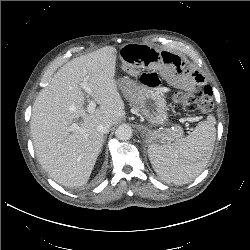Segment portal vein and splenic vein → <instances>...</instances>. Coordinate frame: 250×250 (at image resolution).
Listing matches in <instances>:
<instances>
[{
  "label": "portal vein and splenic vein",
  "mask_w": 250,
  "mask_h": 250,
  "mask_svg": "<svg viewBox=\"0 0 250 250\" xmlns=\"http://www.w3.org/2000/svg\"><path fill=\"white\" fill-rule=\"evenodd\" d=\"M80 87L83 88L88 95H92V90L88 85V77H86L83 80V82L80 83ZM95 108H96V103L93 100H90L89 104L87 106V111L93 112L95 110ZM79 129H80V127L77 123H73L71 125V130H79Z\"/></svg>",
  "instance_id": "1"
}]
</instances>
